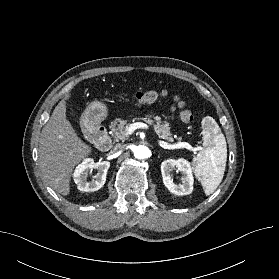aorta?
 I'll return each mask as SVG.
<instances>
[{
  "mask_svg": "<svg viewBox=\"0 0 279 279\" xmlns=\"http://www.w3.org/2000/svg\"><path fill=\"white\" fill-rule=\"evenodd\" d=\"M149 155H150V151H149L148 147H146L144 145H139L134 150V156L137 159H145V158H148Z\"/></svg>",
  "mask_w": 279,
  "mask_h": 279,
  "instance_id": "aorta-1",
  "label": "aorta"
}]
</instances>
